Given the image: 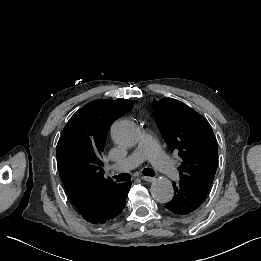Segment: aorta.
Here are the masks:
<instances>
[{"instance_id":"obj_1","label":"aorta","mask_w":261,"mask_h":261,"mask_svg":"<svg viewBox=\"0 0 261 261\" xmlns=\"http://www.w3.org/2000/svg\"><path fill=\"white\" fill-rule=\"evenodd\" d=\"M111 136L115 143L131 147L139 141L140 129L134 122L121 120L112 125ZM151 194L160 203L171 201L174 196L172 182L166 177L157 178L151 185Z\"/></svg>"}]
</instances>
